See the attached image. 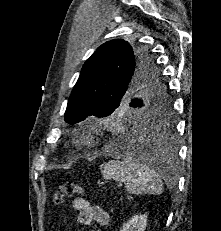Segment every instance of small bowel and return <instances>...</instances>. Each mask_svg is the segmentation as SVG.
Wrapping results in <instances>:
<instances>
[{"label":"small bowel","mask_w":221,"mask_h":231,"mask_svg":"<svg viewBox=\"0 0 221 231\" xmlns=\"http://www.w3.org/2000/svg\"><path fill=\"white\" fill-rule=\"evenodd\" d=\"M73 207L79 212L77 221L81 225L88 226L95 222L99 226L105 227L109 224L108 212L98 206L91 205L83 198L75 199ZM96 231H101V229Z\"/></svg>","instance_id":"obj_1"}]
</instances>
